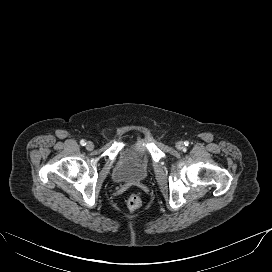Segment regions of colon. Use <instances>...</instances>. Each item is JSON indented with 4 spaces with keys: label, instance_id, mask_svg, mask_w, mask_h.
Returning <instances> with one entry per match:
<instances>
[{
    "label": "colon",
    "instance_id": "5ec220e1",
    "mask_svg": "<svg viewBox=\"0 0 272 272\" xmlns=\"http://www.w3.org/2000/svg\"><path fill=\"white\" fill-rule=\"evenodd\" d=\"M142 205V200L141 198L136 195V194H132L128 197L127 199V207L130 210H137L141 207Z\"/></svg>",
    "mask_w": 272,
    "mask_h": 272
}]
</instances>
